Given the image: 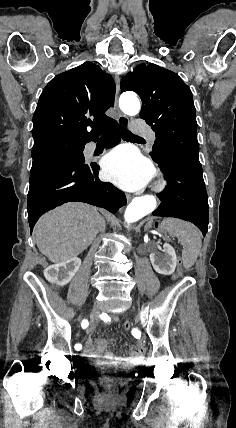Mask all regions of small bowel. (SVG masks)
<instances>
[{
    "label": "small bowel",
    "instance_id": "small-bowel-1",
    "mask_svg": "<svg viewBox=\"0 0 236 428\" xmlns=\"http://www.w3.org/2000/svg\"><path fill=\"white\" fill-rule=\"evenodd\" d=\"M104 323H117L119 318L117 316L105 315L102 317ZM93 327L88 330L89 333L93 331ZM111 341L105 338H98L95 342L89 339L86 342L84 356L89 359L108 363L114 366L124 368H135L143 360V353L145 345L143 341H138L131 347V354L128 356H119L112 351H107Z\"/></svg>",
    "mask_w": 236,
    "mask_h": 428
}]
</instances>
